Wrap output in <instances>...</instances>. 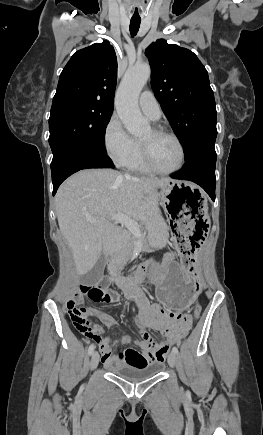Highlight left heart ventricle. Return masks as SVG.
<instances>
[{"mask_svg": "<svg viewBox=\"0 0 263 435\" xmlns=\"http://www.w3.org/2000/svg\"><path fill=\"white\" fill-rule=\"evenodd\" d=\"M141 142L149 147L152 160L159 169L171 170L179 165L180 149L172 138L157 136L150 130L143 136Z\"/></svg>", "mask_w": 263, "mask_h": 435, "instance_id": "left-heart-ventricle-1", "label": "left heart ventricle"}]
</instances>
